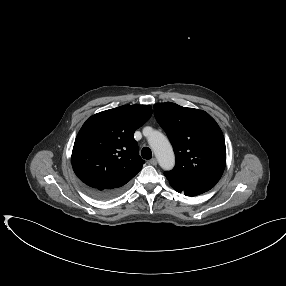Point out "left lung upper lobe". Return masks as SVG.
I'll return each mask as SVG.
<instances>
[{"label":"left lung upper lobe","mask_w":286,"mask_h":286,"mask_svg":"<svg viewBox=\"0 0 286 286\" xmlns=\"http://www.w3.org/2000/svg\"><path fill=\"white\" fill-rule=\"evenodd\" d=\"M154 115L175 153V167L164 173L169 183L202 193L213 188L226 164L225 140L216 121L205 111L170 102L155 104Z\"/></svg>","instance_id":"5c2ea615"}]
</instances>
